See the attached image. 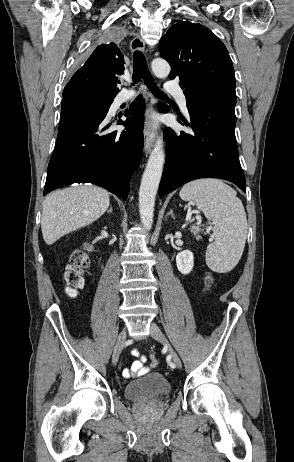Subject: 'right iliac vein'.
I'll use <instances>...</instances> for the list:
<instances>
[{
  "mask_svg": "<svg viewBox=\"0 0 294 462\" xmlns=\"http://www.w3.org/2000/svg\"><path fill=\"white\" fill-rule=\"evenodd\" d=\"M125 342H126V329H123L117 338V342L113 350L112 362L114 365H116L119 360V356L125 345Z\"/></svg>",
  "mask_w": 294,
  "mask_h": 462,
  "instance_id": "obj_1",
  "label": "right iliac vein"
}]
</instances>
